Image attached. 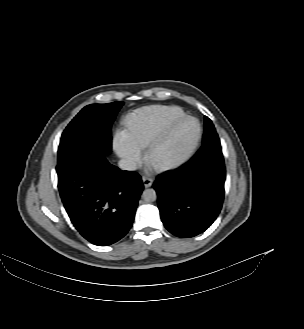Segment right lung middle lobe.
Here are the masks:
<instances>
[{
  "label": "right lung middle lobe",
  "mask_w": 304,
  "mask_h": 329,
  "mask_svg": "<svg viewBox=\"0 0 304 329\" xmlns=\"http://www.w3.org/2000/svg\"><path fill=\"white\" fill-rule=\"evenodd\" d=\"M123 104L118 101L84 107L62 134L58 164L83 154H108L112 145L111 125Z\"/></svg>",
  "instance_id": "dd1d6c3e"
}]
</instances>
